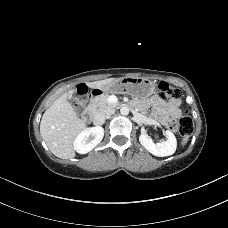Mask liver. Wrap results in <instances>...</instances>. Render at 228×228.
Listing matches in <instances>:
<instances>
[{"label": "liver", "mask_w": 228, "mask_h": 228, "mask_svg": "<svg viewBox=\"0 0 228 228\" xmlns=\"http://www.w3.org/2000/svg\"><path fill=\"white\" fill-rule=\"evenodd\" d=\"M115 78L89 82V88H100ZM85 123L77 116L68 101V93L62 94L45 111L40 123V133L50 151L61 159L75 157L74 140L85 129Z\"/></svg>", "instance_id": "liver-1"}]
</instances>
